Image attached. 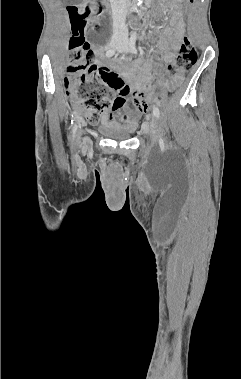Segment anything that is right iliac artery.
<instances>
[{
    "instance_id": "1",
    "label": "right iliac artery",
    "mask_w": 241,
    "mask_h": 379,
    "mask_svg": "<svg viewBox=\"0 0 241 379\" xmlns=\"http://www.w3.org/2000/svg\"><path fill=\"white\" fill-rule=\"evenodd\" d=\"M115 54V50L114 49H109L107 52H106V56L107 57H111ZM76 131V126H74V129H73V132L75 133Z\"/></svg>"
}]
</instances>
